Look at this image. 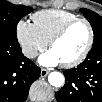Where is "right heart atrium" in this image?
<instances>
[{
  "instance_id": "d8ad5b80",
  "label": "right heart atrium",
  "mask_w": 102,
  "mask_h": 102,
  "mask_svg": "<svg viewBox=\"0 0 102 102\" xmlns=\"http://www.w3.org/2000/svg\"><path fill=\"white\" fill-rule=\"evenodd\" d=\"M16 34L23 53L34 58L38 52L46 49L48 42L39 34L34 24L20 20L16 26Z\"/></svg>"
}]
</instances>
